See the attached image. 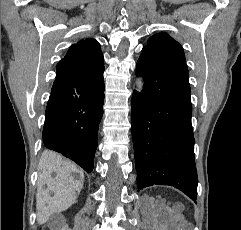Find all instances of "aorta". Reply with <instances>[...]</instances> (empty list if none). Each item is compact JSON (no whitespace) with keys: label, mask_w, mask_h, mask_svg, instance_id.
Segmentation results:
<instances>
[{"label":"aorta","mask_w":241,"mask_h":230,"mask_svg":"<svg viewBox=\"0 0 241 230\" xmlns=\"http://www.w3.org/2000/svg\"><path fill=\"white\" fill-rule=\"evenodd\" d=\"M144 87V81L142 78H138L136 81V90L137 92H141Z\"/></svg>","instance_id":"aorta-1"}]
</instances>
